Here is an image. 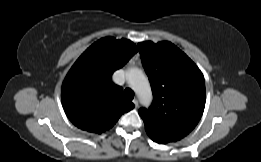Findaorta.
<instances>
[{
    "label": "aorta",
    "instance_id": "aorta-1",
    "mask_svg": "<svg viewBox=\"0 0 261 162\" xmlns=\"http://www.w3.org/2000/svg\"><path fill=\"white\" fill-rule=\"evenodd\" d=\"M127 79L138 96L140 103L144 106L150 105L152 101V92L149 81L144 73L137 68H132L128 71Z\"/></svg>",
    "mask_w": 261,
    "mask_h": 162
}]
</instances>
